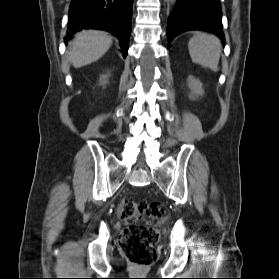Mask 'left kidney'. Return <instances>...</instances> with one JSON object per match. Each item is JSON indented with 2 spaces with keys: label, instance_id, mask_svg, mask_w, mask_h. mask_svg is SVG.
<instances>
[{
  "label": "left kidney",
  "instance_id": "1",
  "mask_svg": "<svg viewBox=\"0 0 279 279\" xmlns=\"http://www.w3.org/2000/svg\"><path fill=\"white\" fill-rule=\"evenodd\" d=\"M187 81L188 87L191 90L190 98L195 99L198 96H203L204 90L200 80L194 78L193 76H189Z\"/></svg>",
  "mask_w": 279,
  "mask_h": 279
}]
</instances>
